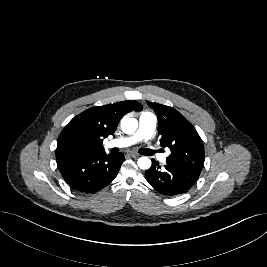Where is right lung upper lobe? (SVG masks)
<instances>
[{"instance_id": "1", "label": "right lung upper lobe", "mask_w": 267, "mask_h": 267, "mask_svg": "<svg viewBox=\"0 0 267 267\" xmlns=\"http://www.w3.org/2000/svg\"><path fill=\"white\" fill-rule=\"evenodd\" d=\"M137 101H122L89 108L75 116L62 130L56 149V157L63 156L62 146L69 141H78L84 150L82 154L104 151L103 139L113 134L120 119L130 111L140 110Z\"/></svg>"}]
</instances>
